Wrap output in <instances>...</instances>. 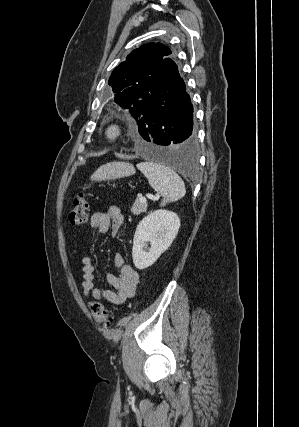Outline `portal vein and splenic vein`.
<instances>
[{"label": "portal vein and splenic vein", "instance_id": "18ae733b", "mask_svg": "<svg viewBox=\"0 0 299 427\" xmlns=\"http://www.w3.org/2000/svg\"><path fill=\"white\" fill-rule=\"evenodd\" d=\"M159 195H155V196H153V195H151V194H148L147 195V198H149V199H151V200H154V201H156V200H158L159 199ZM140 201H142V202H146V198L145 197H141L140 198Z\"/></svg>", "mask_w": 299, "mask_h": 427}]
</instances>
